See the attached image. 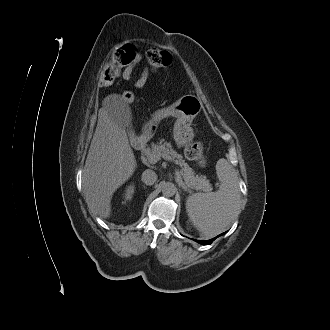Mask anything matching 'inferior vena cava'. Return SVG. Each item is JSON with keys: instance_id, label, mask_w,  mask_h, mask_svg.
<instances>
[{"instance_id": "602c4592", "label": "inferior vena cava", "mask_w": 330, "mask_h": 330, "mask_svg": "<svg viewBox=\"0 0 330 330\" xmlns=\"http://www.w3.org/2000/svg\"><path fill=\"white\" fill-rule=\"evenodd\" d=\"M141 180L146 185H153L157 181V174L153 170L147 169L142 173Z\"/></svg>"}]
</instances>
